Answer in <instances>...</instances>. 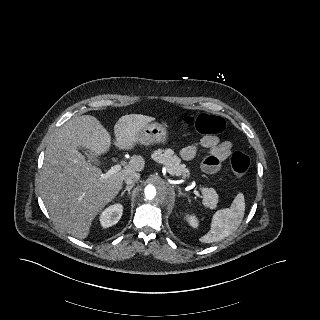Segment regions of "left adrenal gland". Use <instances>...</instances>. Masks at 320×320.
Segmentation results:
<instances>
[{
    "label": "left adrenal gland",
    "instance_id": "obj_1",
    "mask_svg": "<svg viewBox=\"0 0 320 320\" xmlns=\"http://www.w3.org/2000/svg\"><path fill=\"white\" fill-rule=\"evenodd\" d=\"M178 191H179V196H184V194L181 192L180 188L178 189Z\"/></svg>",
    "mask_w": 320,
    "mask_h": 320
}]
</instances>
